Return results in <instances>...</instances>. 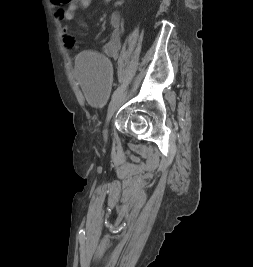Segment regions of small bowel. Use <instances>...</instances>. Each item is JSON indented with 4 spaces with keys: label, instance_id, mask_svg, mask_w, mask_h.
I'll use <instances>...</instances> for the list:
<instances>
[{
    "label": "small bowel",
    "instance_id": "small-bowel-1",
    "mask_svg": "<svg viewBox=\"0 0 253 267\" xmlns=\"http://www.w3.org/2000/svg\"><path fill=\"white\" fill-rule=\"evenodd\" d=\"M94 0H51L56 16L63 22L62 39L66 46L76 47V41L70 30V23L74 19L78 9H88ZM104 4L113 3L115 6L122 4V0H103ZM121 25L122 16L115 11L110 15L112 28L108 41L103 45L102 52L106 56L117 58L121 50Z\"/></svg>",
    "mask_w": 253,
    "mask_h": 267
}]
</instances>
